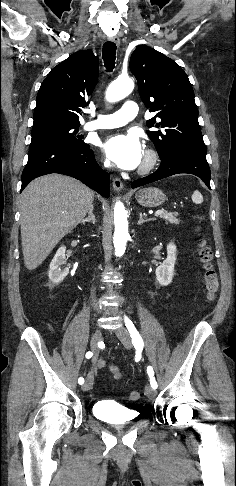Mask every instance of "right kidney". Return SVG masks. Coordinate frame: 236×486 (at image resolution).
<instances>
[{
	"mask_svg": "<svg viewBox=\"0 0 236 486\" xmlns=\"http://www.w3.org/2000/svg\"><path fill=\"white\" fill-rule=\"evenodd\" d=\"M65 252L66 247L61 246L50 263L48 277L54 285L60 284L69 273L68 269H61V266L66 263Z\"/></svg>",
	"mask_w": 236,
	"mask_h": 486,
	"instance_id": "1",
	"label": "right kidney"
}]
</instances>
